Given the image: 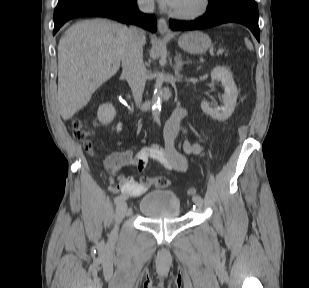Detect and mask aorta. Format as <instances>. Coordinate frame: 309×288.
<instances>
[{"instance_id": "1", "label": "aorta", "mask_w": 309, "mask_h": 288, "mask_svg": "<svg viewBox=\"0 0 309 288\" xmlns=\"http://www.w3.org/2000/svg\"><path fill=\"white\" fill-rule=\"evenodd\" d=\"M162 84L163 81L158 78L155 82L152 96V117L155 122L160 121L161 103H162Z\"/></svg>"}]
</instances>
